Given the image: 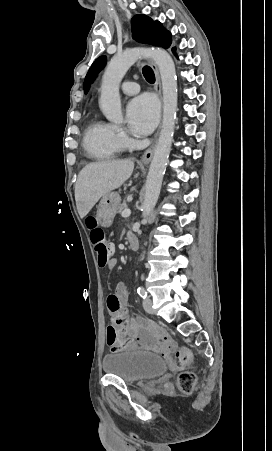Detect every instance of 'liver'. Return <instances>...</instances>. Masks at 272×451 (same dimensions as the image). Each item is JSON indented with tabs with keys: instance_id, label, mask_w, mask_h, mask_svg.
<instances>
[{
	"instance_id": "obj_1",
	"label": "liver",
	"mask_w": 272,
	"mask_h": 451,
	"mask_svg": "<svg viewBox=\"0 0 272 451\" xmlns=\"http://www.w3.org/2000/svg\"><path fill=\"white\" fill-rule=\"evenodd\" d=\"M134 170L131 160L93 162L78 174L75 184V200L80 218H85L102 196L120 188Z\"/></svg>"
}]
</instances>
